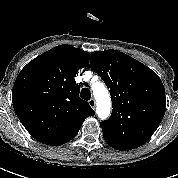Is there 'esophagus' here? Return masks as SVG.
<instances>
[{"mask_svg": "<svg viewBox=\"0 0 178 178\" xmlns=\"http://www.w3.org/2000/svg\"><path fill=\"white\" fill-rule=\"evenodd\" d=\"M88 102L90 107H92L93 109L96 107V101L94 98H91Z\"/></svg>", "mask_w": 178, "mask_h": 178, "instance_id": "obj_1", "label": "esophagus"}]
</instances>
